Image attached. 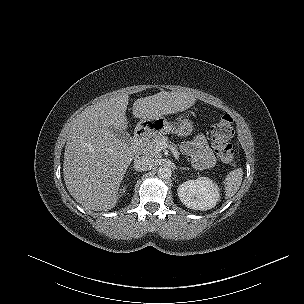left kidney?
I'll return each mask as SVG.
<instances>
[{
    "instance_id": "left-kidney-1",
    "label": "left kidney",
    "mask_w": 304,
    "mask_h": 304,
    "mask_svg": "<svg viewBox=\"0 0 304 304\" xmlns=\"http://www.w3.org/2000/svg\"><path fill=\"white\" fill-rule=\"evenodd\" d=\"M181 202L190 209L207 211L219 201V187L208 177L183 182L177 189Z\"/></svg>"
}]
</instances>
